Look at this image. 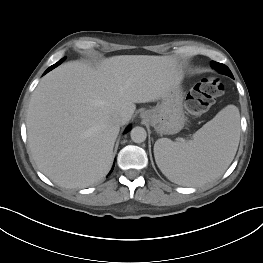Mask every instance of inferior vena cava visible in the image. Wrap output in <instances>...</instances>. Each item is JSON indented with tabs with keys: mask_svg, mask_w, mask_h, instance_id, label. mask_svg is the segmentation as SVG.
I'll list each match as a JSON object with an SVG mask.
<instances>
[{
	"mask_svg": "<svg viewBox=\"0 0 263 263\" xmlns=\"http://www.w3.org/2000/svg\"><path fill=\"white\" fill-rule=\"evenodd\" d=\"M113 122L118 124V125H123L126 122V117L123 115H115L113 117Z\"/></svg>",
	"mask_w": 263,
	"mask_h": 263,
	"instance_id": "1",
	"label": "inferior vena cava"
}]
</instances>
